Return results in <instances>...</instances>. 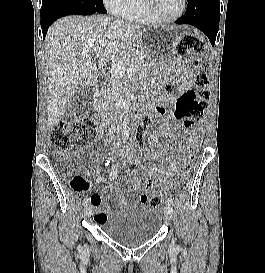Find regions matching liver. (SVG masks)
<instances>
[{
    "label": "liver",
    "mask_w": 265,
    "mask_h": 273,
    "mask_svg": "<svg viewBox=\"0 0 265 273\" xmlns=\"http://www.w3.org/2000/svg\"><path fill=\"white\" fill-rule=\"evenodd\" d=\"M143 30L140 25L112 22L102 15L68 16L51 26L45 47L50 128L62 119L79 87L92 86L98 69L129 50ZM97 53L101 55L98 67L94 62Z\"/></svg>",
    "instance_id": "liver-1"
}]
</instances>
